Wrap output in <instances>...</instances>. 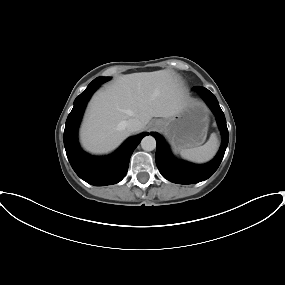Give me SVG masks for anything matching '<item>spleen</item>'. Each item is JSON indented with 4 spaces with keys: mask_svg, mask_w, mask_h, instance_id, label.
<instances>
[{
    "mask_svg": "<svg viewBox=\"0 0 285 285\" xmlns=\"http://www.w3.org/2000/svg\"><path fill=\"white\" fill-rule=\"evenodd\" d=\"M219 147L218 139L212 134L209 140L202 146L182 149L181 156L189 161L204 163L214 157Z\"/></svg>",
    "mask_w": 285,
    "mask_h": 285,
    "instance_id": "1",
    "label": "spleen"
}]
</instances>
